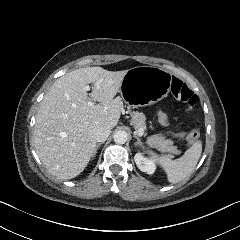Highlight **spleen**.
<instances>
[{"instance_id": "1", "label": "spleen", "mask_w": 240, "mask_h": 240, "mask_svg": "<svg viewBox=\"0 0 240 240\" xmlns=\"http://www.w3.org/2000/svg\"><path fill=\"white\" fill-rule=\"evenodd\" d=\"M200 154L201 144L195 143L182 157L176 160L162 158L161 163L168 173L169 181L176 183L186 178L195 168ZM153 156L156 155L153 153Z\"/></svg>"}]
</instances>
